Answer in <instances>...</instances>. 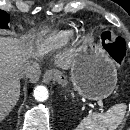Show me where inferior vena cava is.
<instances>
[{"mask_svg": "<svg viewBox=\"0 0 130 130\" xmlns=\"http://www.w3.org/2000/svg\"><path fill=\"white\" fill-rule=\"evenodd\" d=\"M21 71V74L29 78L31 82L38 81L41 74L40 66L36 62H25L21 67Z\"/></svg>", "mask_w": 130, "mask_h": 130, "instance_id": "inferior-vena-cava-1", "label": "inferior vena cava"}]
</instances>
